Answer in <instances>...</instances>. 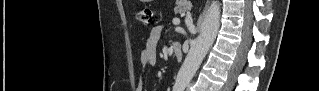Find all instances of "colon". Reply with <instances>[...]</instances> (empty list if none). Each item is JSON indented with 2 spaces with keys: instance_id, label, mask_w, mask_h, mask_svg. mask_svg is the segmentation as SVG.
<instances>
[{
  "instance_id": "1",
  "label": "colon",
  "mask_w": 319,
  "mask_h": 91,
  "mask_svg": "<svg viewBox=\"0 0 319 91\" xmlns=\"http://www.w3.org/2000/svg\"><path fill=\"white\" fill-rule=\"evenodd\" d=\"M138 19L145 25L153 24V12L149 7L142 8L138 12Z\"/></svg>"
}]
</instances>
